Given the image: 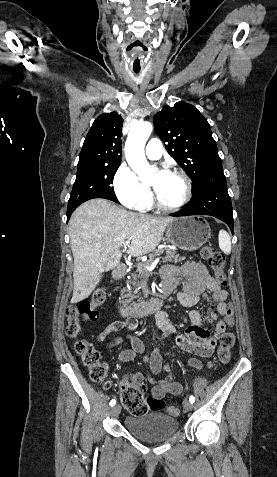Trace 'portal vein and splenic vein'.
<instances>
[{"mask_svg":"<svg viewBox=\"0 0 277 477\" xmlns=\"http://www.w3.org/2000/svg\"><path fill=\"white\" fill-rule=\"evenodd\" d=\"M129 244H130V239L123 243L124 248L129 247ZM159 260H160V258L155 259L154 262H152L149 266H146L145 268L148 271H152L156 267V265L158 264Z\"/></svg>","mask_w":277,"mask_h":477,"instance_id":"1","label":"portal vein and splenic vein"}]
</instances>
